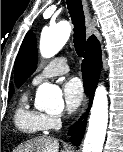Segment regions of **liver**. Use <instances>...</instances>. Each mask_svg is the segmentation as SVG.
Here are the masks:
<instances>
[{"label": "liver", "mask_w": 123, "mask_h": 152, "mask_svg": "<svg viewBox=\"0 0 123 152\" xmlns=\"http://www.w3.org/2000/svg\"><path fill=\"white\" fill-rule=\"evenodd\" d=\"M14 152H59V142L52 137H37L20 145Z\"/></svg>", "instance_id": "1"}]
</instances>
